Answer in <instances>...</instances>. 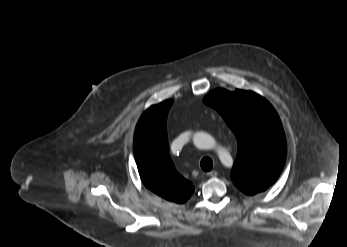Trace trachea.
I'll return each instance as SVG.
<instances>
[{
	"instance_id": "trachea-1",
	"label": "trachea",
	"mask_w": 347,
	"mask_h": 247,
	"mask_svg": "<svg viewBox=\"0 0 347 247\" xmlns=\"http://www.w3.org/2000/svg\"><path fill=\"white\" fill-rule=\"evenodd\" d=\"M201 168L203 171H210L213 167V162L211 158L204 157L200 162Z\"/></svg>"
}]
</instances>
